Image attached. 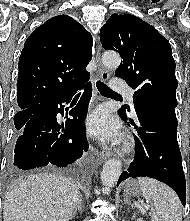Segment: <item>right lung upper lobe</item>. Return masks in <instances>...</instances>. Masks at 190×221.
I'll return each instance as SVG.
<instances>
[{
    "label": "right lung upper lobe",
    "instance_id": "obj_1",
    "mask_svg": "<svg viewBox=\"0 0 190 221\" xmlns=\"http://www.w3.org/2000/svg\"><path fill=\"white\" fill-rule=\"evenodd\" d=\"M92 46L91 34L68 15L40 25L27 38L19 58V112L84 85L90 78L85 67L92 59Z\"/></svg>",
    "mask_w": 190,
    "mask_h": 221
}]
</instances>
